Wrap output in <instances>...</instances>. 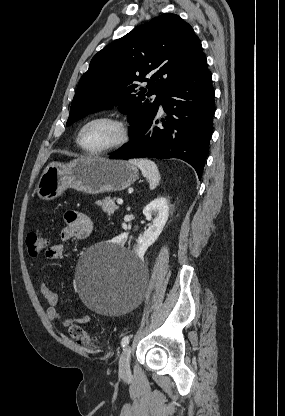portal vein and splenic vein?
I'll list each match as a JSON object with an SVG mask.
<instances>
[{
	"label": "portal vein and splenic vein",
	"mask_w": 285,
	"mask_h": 416,
	"mask_svg": "<svg viewBox=\"0 0 285 416\" xmlns=\"http://www.w3.org/2000/svg\"><path fill=\"white\" fill-rule=\"evenodd\" d=\"M117 204H123V200H116Z\"/></svg>",
	"instance_id": "18ae733b"
}]
</instances>
